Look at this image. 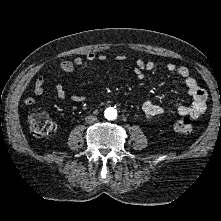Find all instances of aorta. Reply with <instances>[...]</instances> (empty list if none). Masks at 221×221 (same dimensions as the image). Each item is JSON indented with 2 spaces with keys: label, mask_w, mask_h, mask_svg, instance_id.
<instances>
[{
  "label": "aorta",
  "mask_w": 221,
  "mask_h": 221,
  "mask_svg": "<svg viewBox=\"0 0 221 221\" xmlns=\"http://www.w3.org/2000/svg\"><path fill=\"white\" fill-rule=\"evenodd\" d=\"M117 117V110L114 109L113 107H108L105 110V118H107L108 120H114Z\"/></svg>",
  "instance_id": "aorta-1"
}]
</instances>
